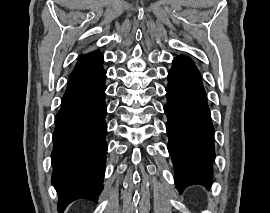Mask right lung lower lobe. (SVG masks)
<instances>
[{"label":"right lung lower lobe","mask_w":270,"mask_h":213,"mask_svg":"<svg viewBox=\"0 0 270 213\" xmlns=\"http://www.w3.org/2000/svg\"><path fill=\"white\" fill-rule=\"evenodd\" d=\"M103 67L71 77L55 117L51 154L58 211L77 199L98 201L103 189L107 144Z\"/></svg>","instance_id":"1"}]
</instances>
